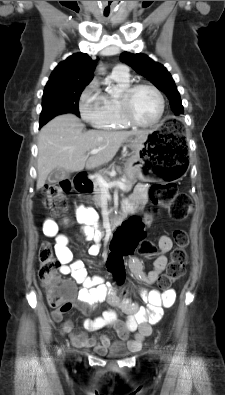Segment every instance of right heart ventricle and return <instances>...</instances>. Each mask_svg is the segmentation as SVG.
Listing matches in <instances>:
<instances>
[{"mask_svg": "<svg viewBox=\"0 0 225 395\" xmlns=\"http://www.w3.org/2000/svg\"><path fill=\"white\" fill-rule=\"evenodd\" d=\"M109 79L114 83L118 93L130 85L129 78H121L115 75H110ZM102 102V111L97 124V128L104 130H119L126 129L129 125L123 120L119 97L109 93L100 94Z\"/></svg>", "mask_w": 225, "mask_h": 395, "instance_id": "right-heart-ventricle-1", "label": "right heart ventricle"}]
</instances>
